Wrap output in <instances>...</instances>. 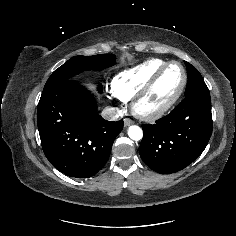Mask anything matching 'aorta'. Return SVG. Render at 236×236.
<instances>
[{"mask_svg": "<svg viewBox=\"0 0 236 236\" xmlns=\"http://www.w3.org/2000/svg\"><path fill=\"white\" fill-rule=\"evenodd\" d=\"M128 136L134 141H139L143 137V131L139 126L132 125L128 128Z\"/></svg>", "mask_w": 236, "mask_h": 236, "instance_id": "obj_1", "label": "aorta"}]
</instances>
